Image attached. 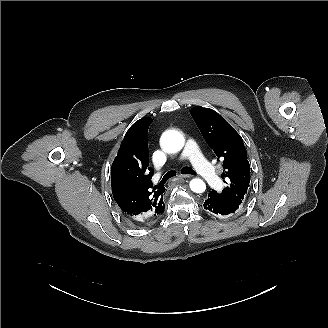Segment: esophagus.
Returning a JSON list of instances; mask_svg holds the SVG:
<instances>
[{
	"label": "esophagus",
	"mask_w": 328,
	"mask_h": 328,
	"mask_svg": "<svg viewBox=\"0 0 328 328\" xmlns=\"http://www.w3.org/2000/svg\"><path fill=\"white\" fill-rule=\"evenodd\" d=\"M190 177H191V175H189V174H181L178 176V178H190Z\"/></svg>",
	"instance_id": "34e87169"
}]
</instances>
